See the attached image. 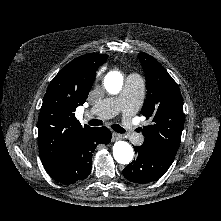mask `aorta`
<instances>
[{
	"label": "aorta",
	"instance_id": "762f6f07",
	"mask_svg": "<svg viewBox=\"0 0 221 221\" xmlns=\"http://www.w3.org/2000/svg\"><path fill=\"white\" fill-rule=\"evenodd\" d=\"M123 85V76L118 71L109 72L104 79L105 89L110 94H118ZM113 155L115 160L123 165L129 164L134 156L132 146L126 141H117L113 146Z\"/></svg>",
	"mask_w": 221,
	"mask_h": 221
}]
</instances>
